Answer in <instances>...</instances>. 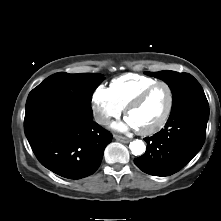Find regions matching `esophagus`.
<instances>
[{"mask_svg": "<svg viewBox=\"0 0 221 221\" xmlns=\"http://www.w3.org/2000/svg\"><path fill=\"white\" fill-rule=\"evenodd\" d=\"M114 138L119 141V142H122V143H129L130 142V139L124 137V136H121V135H114Z\"/></svg>", "mask_w": 221, "mask_h": 221, "instance_id": "1", "label": "esophagus"}]
</instances>
